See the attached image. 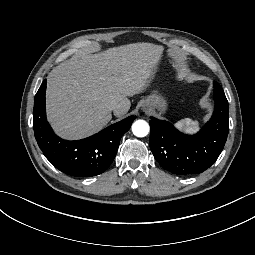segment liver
<instances>
[{"instance_id": "1", "label": "liver", "mask_w": 255, "mask_h": 255, "mask_svg": "<svg viewBox=\"0 0 255 255\" xmlns=\"http://www.w3.org/2000/svg\"><path fill=\"white\" fill-rule=\"evenodd\" d=\"M163 47L149 43L115 47L96 55L79 54L62 63L48 78V117L66 138H80L112 119L111 104L130 108L129 97L146 91L154 80Z\"/></svg>"}]
</instances>
